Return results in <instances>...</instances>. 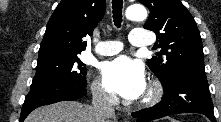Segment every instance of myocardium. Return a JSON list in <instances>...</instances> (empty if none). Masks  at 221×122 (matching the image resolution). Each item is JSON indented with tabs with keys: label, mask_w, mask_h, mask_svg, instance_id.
Instances as JSON below:
<instances>
[{
	"label": "myocardium",
	"mask_w": 221,
	"mask_h": 122,
	"mask_svg": "<svg viewBox=\"0 0 221 122\" xmlns=\"http://www.w3.org/2000/svg\"><path fill=\"white\" fill-rule=\"evenodd\" d=\"M163 94L162 86L159 82L153 81L151 82L149 88L147 89L143 99L142 104L144 105H152L157 103Z\"/></svg>",
	"instance_id": "obj_1"
}]
</instances>
